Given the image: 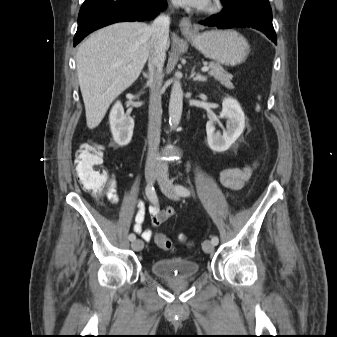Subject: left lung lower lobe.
Instances as JSON below:
<instances>
[{
    "instance_id": "left-lung-lower-lobe-1",
    "label": "left lung lower lobe",
    "mask_w": 337,
    "mask_h": 337,
    "mask_svg": "<svg viewBox=\"0 0 337 337\" xmlns=\"http://www.w3.org/2000/svg\"><path fill=\"white\" fill-rule=\"evenodd\" d=\"M221 13L200 21L205 26L220 29L252 27L263 32L275 44L276 33L272 24V11L268 0H231L224 3Z\"/></svg>"
}]
</instances>
